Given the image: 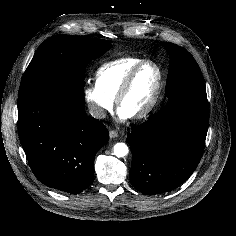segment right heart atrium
I'll return each instance as SVG.
<instances>
[{
	"instance_id": "right-heart-atrium-1",
	"label": "right heart atrium",
	"mask_w": 236,
	"mask_h": 236,
	"mask_svg": "<svg viewBox=\"0 0 236 236\" xmlns=\"http://www.w3.org/2000/svg\"><path fill=\"white\" fill-rule=\"evenodd\" d=\"M84 99L92 116L103 119L112 110L114 100L106 95L96 82H89L84 88Z\"/></svg>"
}]
</instances>
